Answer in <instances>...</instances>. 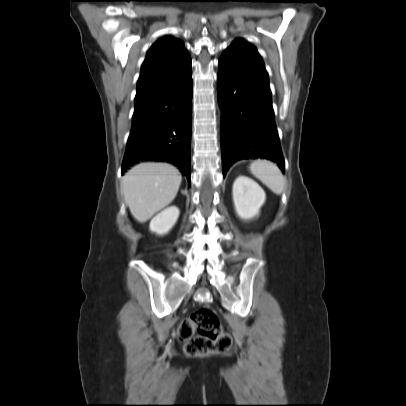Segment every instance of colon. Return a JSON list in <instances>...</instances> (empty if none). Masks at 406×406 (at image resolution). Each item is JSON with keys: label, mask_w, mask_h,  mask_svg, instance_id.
Masks as SVG:
<instances>
[{"label": "colon", "mask_w": 406, "mask_h": 406, "mask_svg": "<svg viewBox=\"0 0 406 406\" xmlns=\"http://www.w3.org/2000/svg\"><path fill=\"white\" fill-rule=\"evenodd\" d=\"M177 336L185 342V353L191 357L224 353L232 346L231 336L223 330L216 314L207 308L197 310L182 320Z\"/></svg>", "instance_id": "colon-1"}]
</instances>
